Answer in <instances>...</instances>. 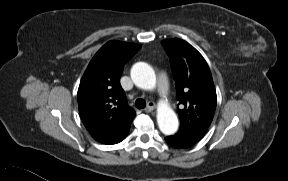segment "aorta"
Listing matches in <instances>:
<instances>
[{
    "label": "aorta",
    "mask_w": 288,
    "mask_h": 181,
    "mask_svg": "<svg viewBox=\"0 0 288 181\" xmlns=\"http://www.w3.org/2000/svg\"><path fill=\"white\" fill-rule=\"evenodd\" d=\"M134 84L142 89L152 90L156 85L155 72L150 65L138 62L131 69ZM157 123L165 135L174 134L178 129V118L174 110L167 104H160L157 109Z\"/></svg>",
    "instance_id": "1"
}]
</instances>
